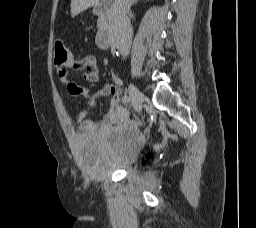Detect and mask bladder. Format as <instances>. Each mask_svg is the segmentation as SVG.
<instances>
[{
  "label": "bladder",
  "mask_w": 256,
  "mask_h": 228,
  "mask_svg": "<svg viewBox=\"0 0 256 228\" xmlns=\"http://www.w3.org/2000/svg\"><path fill=\"white\" fill-rule=\"evenodd\" d=\"M145 136L134 125L114 128L104 135L80 134L75 141L82 162L91 163V175L100 179L113 171L130 170L138 158Z\"/></svg>",
  "instance_id": "obj_1"
}]
</instances>
